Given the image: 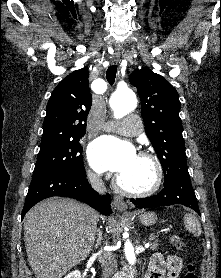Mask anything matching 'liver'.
<instances>
[{
    "label": "liver",
    "mask_w": 221,
    "mask_h": 278,
    "mask_svg": "<svg viewBox=\"0 0 221 278\" xmlns=\"http://www.w3.org/2000/svg\"><path fill=\"white\" fill-rule=\"evenodd\" d=\"M98 215L68 198H50L24 218V241L36 278H62L92 251Z\"/></svg>",
    "instance_id": "liver-1"
}]
</instances>
